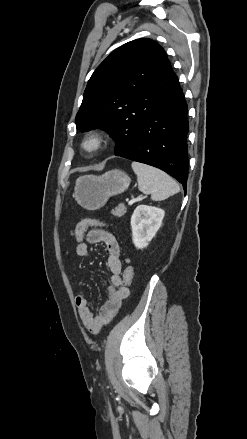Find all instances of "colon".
<instances>
[{
	"label": "colon",
	"mask_w": 247,
	"mask_h": 439,
	"mask_svg": "<svg viewBox=\"0 0 247 439\" xmlns=\"http://www.w3.org/2000/svg\"><path fill=\"white\" fill-rule=\"evenodd\" d=\"M103 226V222L96 219H83L77 223L73 230V235L78 242L83 240L84 234L88 232L91 227ZM134 278V268L128 265L124 271L122 283L124 287L130 286Z\"/></svg>",
	"instance_id": "5ec220e1"
}]
</instances>
